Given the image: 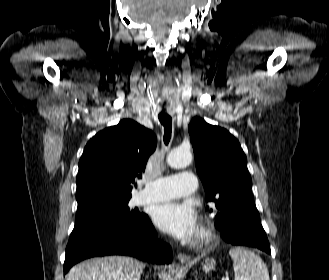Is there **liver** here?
<instances>
[{"instance_id": "obj_1", "label": "liver", "mask_w": 329, "mask_h": 280, "mask_svg": "<svg viewBox=\"0 0 329 280\" xmlns=\"http://www.w3.org/2000/svg\"><path fill=\"white\" fill-rule=\"evenodd\" d=\"M144 267L132 257L93 258L73 267L66 280H140Z\"/></svg>"}]
</instances>
